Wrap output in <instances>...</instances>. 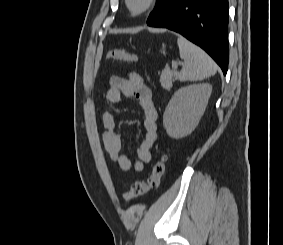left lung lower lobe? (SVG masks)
Listing matches in <instances>:
<instances>
[{"label": "left lung lower lobe", "instance_id": "1", "mask_svg": "<svg viewBox=\"0 0 283 245\" xmlns=\"http://www.w3.org/2000/svg\"><path fill=\"white\" fill-rule=\"evenodd\" d=\"M151 27L168 28L204 49L221 67L228 69V0H173Z\"/></svg>", "mask_w": 283, "mask_h": 245}]
</instances>
